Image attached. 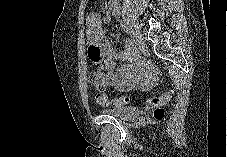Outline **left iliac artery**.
Wrapping results in <instances>:
<instances>
[{
	"mask_svg": "<svg viewBox=\"0 0 227 157\" xmlns=\"http://www.w3.org/2000/svg\"><path fill=\"white\" fill-rule=\"evenodd\" d=\"M127 30L130 31V33L132 34L133 37H136L137 36V33L133 29V26H128L127 27Z\"/></svg>",
	"mask_w": 227,
	"mask_h": 157,
	"instance_id": "left-iliac-artery-1",
	"label": "left iliac artery"
}]
</instances>
